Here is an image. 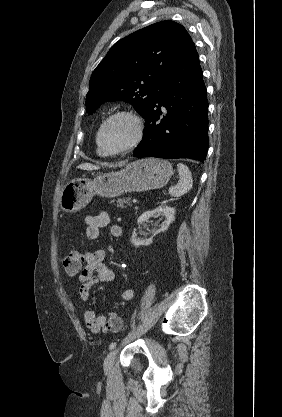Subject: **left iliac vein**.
I'll return each instance as SVG.
<instances>
[{
  "mask_svg": "<svg viewBox=\"0 0 282 417\" xmlns=\"http://www.w3.org/2000/svg\"><path fill=\"white\" fill-rule=\"evenodd\" d=\"M117 353H118V349H114L107 354V356L104 360V371L106 373L111 371V369L114 365L115 359L117 357Z\"/></svg>",
  "mask_w": 282,
  "mask_h": 417,
  "instance_id": "left-iliac-vein-1",
  "label": "left iliac vein"
}]
</instances>
